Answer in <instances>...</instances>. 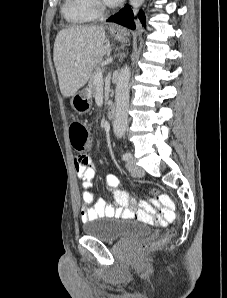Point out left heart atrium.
Masks as SVG:
<instances>
[{
  "label": "left heart atrium",
  "mask_w": 227,
  "mask_h": 298,
  "mask_svg": "<svg viewBox=\"0 0 227 298\" xmlns=\"http://www.w3.org/2000/svg\"><path fill=\"white\" fill-rule=\"evenodd\" d=\"M105 4L109 6H115L121 2V0H103Z\"/></svg>",
  "instance_id": "obj_1"
}]
</instances>
